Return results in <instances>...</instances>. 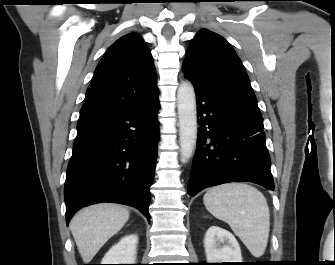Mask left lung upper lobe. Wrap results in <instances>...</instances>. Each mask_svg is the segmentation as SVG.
<instances>
[{"mask_svg": "<svg viewBox=\"0 0 335 265\" xmlns=\"http://www.w3.org/2000/svg\"><path fill=\"white\" fill-rule=\"evenodd\" d=\"M183 73L193 85L260 112L241 60L220 35L207 29L197 33L187 51Z\"/></svg>", "mask_w": 335, "mask_h": 265, "instance_id": "left-lung-upper-lobe-1", "label": "left lung upper lobe"}]
</instances>
